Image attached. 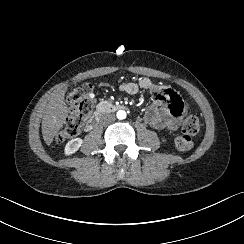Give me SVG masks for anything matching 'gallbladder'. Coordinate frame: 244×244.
<instances>
[{"mask_svg":"<svg viewBox=\"0 0 244 244\" xmlns=\"http://www.w3.org/2000/svg\"><path fill=\"white\" fill-rule=\"evenodd\" d=\"M77 93H79L78 89H76Z\"/></svg>","mask_w":244,"mask_h":244,"instance_id":"1","label":"gallbladder"}]
</instances>
